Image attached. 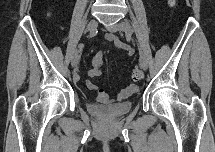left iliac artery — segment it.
I'll return each instance as SVG.
<instances>
[{"label": "left iliac artery", "instance_id": "left-iliac-artery-1", "mask_svg": "<svg viewBox=\"0 0 215 152\" xmlns=\"http://www.w3.org/2000/svg\"><path fill=\"white\" fill-rule=\"evenodd\" d=\"M123 25H124V27H125V29H126V33H127V34H130V33L133 32V29H132V27H131V25H130L129 23L124 22Z\"/></svg>", "mask_w": 215, "mask_h": 152}]
</instances>
